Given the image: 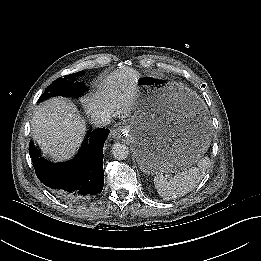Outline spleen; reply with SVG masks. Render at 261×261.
<instances>
[{"mask_svg": "<svg viewBox=\"0 0 261 261\" xmlns=\"http://www.w3.org/2000/svg\"><path fill=\"white\" fill-rule=\"evenodd\" d=\"M209 164L210 159L204 157L197 162V167L179 172L172 178L168 179L163 174L156 175L154 185L158 194L166 200L184 196L197 186Z\"/></svg>", "mask_w": 261, "mask_h": 261, "instance_id": "1", "label": "spleen"}]
</instances>
